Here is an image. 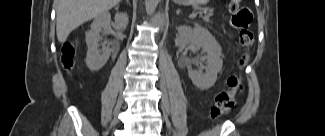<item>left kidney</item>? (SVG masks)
<instances>
[{"label": "left kidney", "instance_id": "left-kidney-1", "mask_svg": "<svg viewBox=\"0 0 325 136\" xmlns=\"http://www.w3.org/2000/svg\"><path fill=\"white\" fill-rule=\"evenodd\" d=\"M178 34L175 39L177 47H185L193 44L202 49L205 53L206 66L203 73L196 72L191 68L188 70V76L193 84L201 90L211 88L216 80L217 74L222 70L223 61L221 59V47L213 35L204 27L197 25L191 28L187 25H181L177 28Z\"/></svg>", "mask_w": 325, "mask_h": 136}]
</instances>
